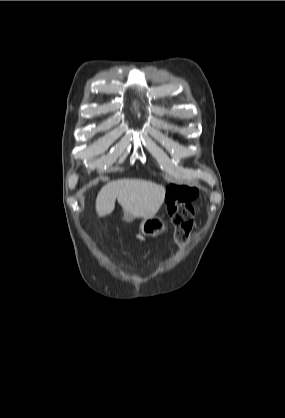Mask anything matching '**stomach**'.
<instances>
[{"instance_id":"stomach-1","label":"stomach","mask_w":285,"mask_h":418,"mask_svg":"<svg viewBox=\"0 0 285 418\" xmlns=\"http://www.w3.org/2000/svg\"><path fill=\"white\" fill-rule=\"evenodd\" d=\"M123 219L127 222H130L132 221V216L125 212ZM140 229L141 233L145 236H156L166 231V225L162 217L154 215L144 218Z\"/></svg>"}]
</instances>
